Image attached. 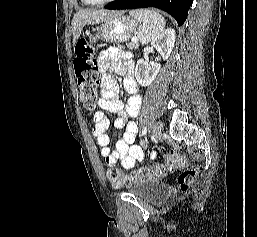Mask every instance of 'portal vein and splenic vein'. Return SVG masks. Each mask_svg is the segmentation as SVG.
<instances>
[{"label":"portal vein and splenic vein","instance_id":"18ae733b","mask_svg":"<svg viewBox=\"0 0 257 237\" xmlns=\"http://www.w3.org/2000/svg\"><path fill=\"white\" fill-rule=\"evenodd\" d=\"M132 41H133V42H137V41H138V38H137V37H134V38H132Z\"/></svg>","mask_w":257,"mask_h":237}]
</instances>
